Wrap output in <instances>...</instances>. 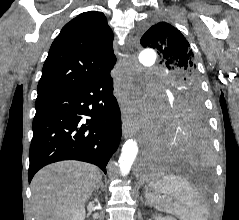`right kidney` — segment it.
Returning a JSON list of instances; mask_svg holds the SVG:
<instances>
[{"label": "right kidney", "instance_id": "obj_1", "mask_svg": "<svg viewBox=\"0 0 239 220\" xmlns=\"http://www.w3.org/2000/svg\"><path fill=\"white\" fill-rule=\"evenodd\" d=\"M84 218H85V209L84 207H81L74 213L72 220H84Z\"/></svg>", "mask_w": 239, "mask_h": 220}]
</instances>
